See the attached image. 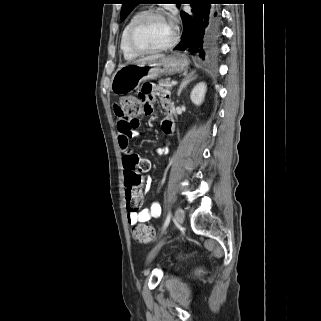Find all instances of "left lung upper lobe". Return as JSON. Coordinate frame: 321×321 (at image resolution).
Wrapping results in <instances>:
<instances>
[{
  "mask_svg": "<svg viewBox=\"0 0 321 321\" xmlns=\"http://www.w3.org/2000/svg\"><path fill=\"white\" fill-rule=\"evenodd\" d=\"M142 0H122V9H121V20L123 21L128 15L129 13L133 10V8L141 3ZM176 4H180L179 0H177Z\"/></svg>",
  "mask_w": 321,
  "mask_h": 321,
  "instance_id": "5c2ea615",
  "label": "left lung upper lobe"
}]
</instances>
